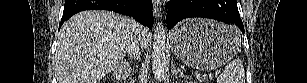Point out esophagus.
Instances as JSON below:
<instances>
[{"label":"esophagus","instance_id":"34e87169","mask_svg":"<svg viewBox=\"0 0 307 83\" xmlns=\"http://www.w3.org/2000/svg\"><path fill=\"white\" fill-rule=\"evenodd\" d=\"M161 4L162 3L160 0H153V10H154L155 17L160 16Z\"/></svg>","mask_w":307,"mask_h":83}]
</instances>
